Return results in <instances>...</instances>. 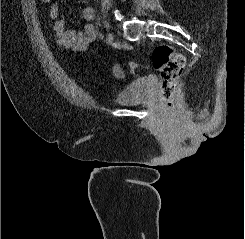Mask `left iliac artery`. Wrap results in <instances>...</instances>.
<instances>
[{"label":"left iliac artery","instance_id":"obj_1","mask_svg":"<svg viewBox=\"0 0 245 239\" xmlns=\"http://www.w3.org/2000/svg\"><path fill=\"white\" fill-rule=\"evenodd\" d=\"M103 38H104L103 33H99V39H100V40H103Z\"/></svg>","mask_w":245,"mask_h":239}]
</instances>
